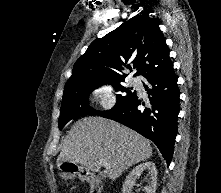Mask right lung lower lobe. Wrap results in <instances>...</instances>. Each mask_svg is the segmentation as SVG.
Returning <instances> with one entry per match:
<instances>
[{"label": "right lung lower lobe", "mask_w": 221, "mask_h": 193, "mask_svg": "<svg viewBox=\"0 0 221 193\" xmlns=\"http://www.w3.org/2000/svg\"><path fill=\"white\" fill-rule=\"evenodd\" d=\"M145 90L150 105L140 109L135 95L118 108L97 115L115 120L152 140L169 165L173 156L179 114V90L173 67L146 77ZM144 105V103H143Z\"/></svg>", "instance_id": "98d812e1"}]
</instances>
